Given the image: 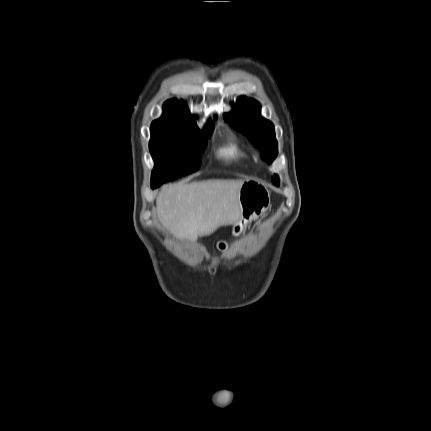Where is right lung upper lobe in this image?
Here are the masks:
<instances>
[{"label": "right lung upper lobe", "instance_id": "right-lung-upper-lobe-1", "mask_svg": "<svg viewBox=\"0 0 431 431\" xmlns=\"http://www.w3.org/2000/svg\"><path fill=\"white\" fill-rule=\"evenodd\" d=\"M163 108L164 114L161 116V118L153 121L152 125L199 131L195 123V117L192 116L186 109L185 101L171 99L164 103ZM210 126H214V123L211 120L208 121L205 129Z\"/></svg>", "mask_w": 431, "mask_h": 431}]
</instances>
